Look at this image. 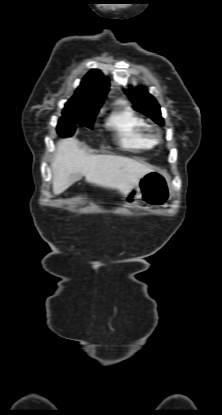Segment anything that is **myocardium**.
Masks as SVG:
<instances>
[{"label": "myocardium", "mask_w": 222, "mask_h": 415, "mask_svg": "<svg viewBox=\"0 0 222 415\" xmlns=\"http://www.w3.org/2000/svg\"><path fill=\"white\" fill-rule=\"evenodd\" d=\"M149 135L154 142H158L161 139V134L158 128H153L149 130Z\"/></svg>", "instance_id": "1"}]
</instances>
